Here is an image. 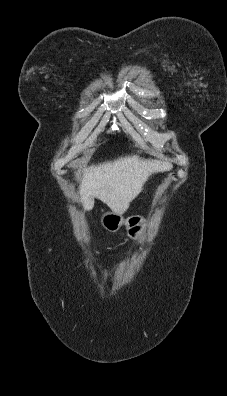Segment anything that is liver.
Wrapping results in <instances>:
<instances>
[{"instance_id":"6515ba94","label":"liver","mask_w":227,"mask_h":396,"mask_svg":"<svg viewBox=\"0 0 227 396\" xmlns=\"http://www.w3.org/2000/svg\"><path fill=\"white\" fill-rule=\"evenodd\" d=\"M167 162L125 156L99 165L81 166L80 196L85 210H92L97 197L114 212L123 214L153 173L164 172Z\"/></svg>"}]
</instances>
